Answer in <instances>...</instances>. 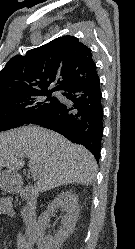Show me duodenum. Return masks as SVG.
Masks as SVG:
<instances>
[{"instance_id":"duodenum-1","label":"duodenum","mask_w":135,"mask_h":249,"mask_svg":"<svg viewBox=\"0 0 135 249\" xmlns=\"http://www.w3.org/2000/svg\"><path fill=\"white\" fill-rule=\"evenodd\" d=\"M21 196L24 198L29 204V215H28V223H33V216L35 213L36 203H37V192L33 187L25 186L21 189ZM30 226V225H29Z\"/></svg>"}]
</instances>
